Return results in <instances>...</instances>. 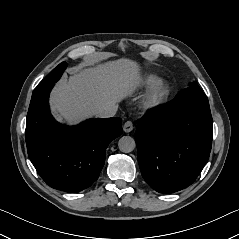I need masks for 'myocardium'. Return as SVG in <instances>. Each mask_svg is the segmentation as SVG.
<instances>
[{
	"label": "myocardium",
	"instance_id": "f54148a6",
	"mask_svg": "<svg viewBox=\"0 0 239 239\" xmlns=\"http://www.w3.org/2000/svg\"><path fill=\"white\" fill-rule=\"evenodd\" d=\"M171 87L165 79H157L140 100V106L146 111H154L166 103Z\"/></svg>",
	"mask_w": 239,
	"mask_h": 239
}]
</instances>
